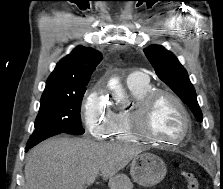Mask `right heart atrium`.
Segmentation results:
<instances>
[{"label": "right heart atrium", "mask_w": 223, "mask_h": 189, "mask_svg": "<svg viewBox=\"0 0 223 189\" xmlns=\"http://www.w3.org/2000/svg\"><path fill=\"white\" fill-rule=\"evenodd\" d=\"M82 116L87 131L95 138H106L109 135L113 111L108 99L100 87L93 88L82 104Z\"/></svg>", "instance_id": "1"}]
</instances>
